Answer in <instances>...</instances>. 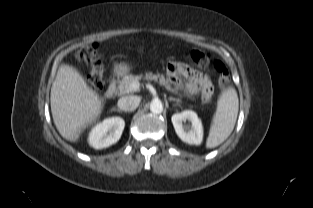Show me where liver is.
<instances>
[{
    "label": "liver",
    "instance_id": "6515ba94",
    "mask_svg": "<svg viewBox=\"0 0 313 208\" xmlns=\"http://www.w3.org/2000/svg\"><path fill=\"white\" fill-rule=\"evenodd\" d=\"M50 103L58 132L70 142H76L103 109L99 95L88 87L77 70L68 65H61L57 71Z\"/></svg>",
    "mask_w": 313,
    "mask_h": 208
}]
</instances>
